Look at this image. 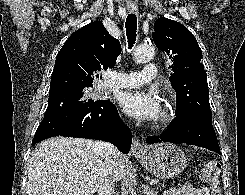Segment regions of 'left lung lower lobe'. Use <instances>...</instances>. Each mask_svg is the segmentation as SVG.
<instances>
[{"mask_svg": "<svg viewBox=\"0 0 245 195\" xmlns=\"http://www.w3.org/2000/svg\"><path fill=\"white\" fill-rule=\"evenodd\" d=\"M148 144L157 142L187 143L222 154L212 125V117L199 113L176 116L160 136L146 138Z\"/></svg>", "mask_w": 245, "mask_h": 195, "instance_id": "obj_1", "label": "left lung lower lobe"}]
</instances>
